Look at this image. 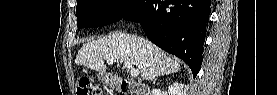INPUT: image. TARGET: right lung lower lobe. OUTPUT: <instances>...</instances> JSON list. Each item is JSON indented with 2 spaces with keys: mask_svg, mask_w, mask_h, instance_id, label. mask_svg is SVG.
<instances>
[{
  "mask_svg": "<svg viewBox=\"0 0 277 95\" xmlns=\"http://www.w3.org/2000/svg\"><path fill=\"white\" fill-rule=\"evenodd\" d=\"M210 4V0H139L124 19L139 22L151 42L184 60L196 77Z\"/></svg>",
  "mask_w": 277,
  "mask_h": 95,
  "instance_id": "obj_1",
  "label": "right lung lower lobe"
}]
</instances>
